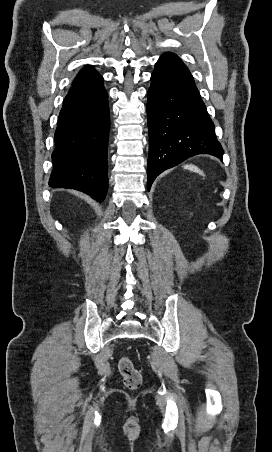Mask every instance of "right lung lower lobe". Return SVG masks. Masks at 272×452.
<instances>
[{
    "instance_id": "98d812e1",
    "label": "right lung lower lobe",
    "mask_w": 272,
    "mask_h": 452,
    "mask_svg": "<svg viewBox=\"0 0 272 452\" xmlns=\"http://www.w3.org/2000/svg\"><path fill=\"white\" fill-rule=\"evenodd\" d=\"M109 128L102 76L72 85L59 114L49 186L76 189L102 202L108 189Z\"/></svg>"
}]
</instances>
